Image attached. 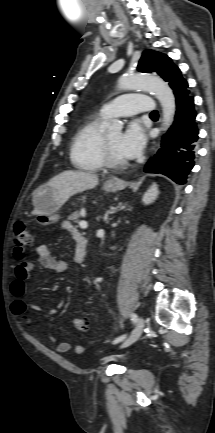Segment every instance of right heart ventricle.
Returning a JSON list of instances; mask_svg holds the SVG:
<instances>
[{"label": "right heart ventricle", "mask_w": 215, "mask_h": 433, "mask_svg": "<svg viewBox=\"0 0 215 433\" xmlns=\"http://www.w3.org/2000/svg\"><path fill=\"white\" fill-rule=\"evenodd\" d=\"M106 119L101 112L93 114L75 133L70 150V158L75 167L86 171H99L104 167L102 127Z\"/></svg>", "instance_id": "1"}]
</instances>
